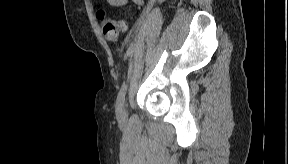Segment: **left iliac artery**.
I'll return each mask as SVG.
<instances>
[{"instance_id": "44dca946", "label": "left iliac artery", "mask_w": 288, "mask_h": 164, "mask_svg": "<svg viewBox=\"0 0 288 164\" xmlns=\"http://www.w3.org/2000/svg\"><path fill=\"white\" fill-rule=\"evenodd\" d=\"M126 91H127V84L124 83L121 86L120 91H119L118 96H117L116 106L118 109L122 108V106L124 104Z\"/></svg>"}]
</instances>
